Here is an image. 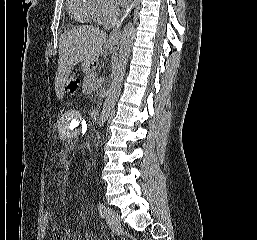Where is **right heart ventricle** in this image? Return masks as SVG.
Here are the masks:
<instances>
[{
  "label": "right heart ventricle",
  "instance_id": "1",
  "mask_svg": "<svg viewBox=\"0 0 257 240\" xmlns=\"http://www.w3.org/2000/svg\"><path fill=\"white\" fill-rule=\"evenodd\" d=\"M95 0H67V9L71 17L78 23L92 22Z\"/></svg>",
  "mask_w": 257,
  "mask_h": 240
}]
</instances>
